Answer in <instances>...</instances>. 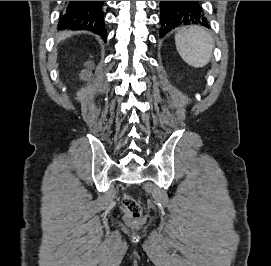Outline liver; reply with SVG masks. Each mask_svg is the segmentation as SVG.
<instances>
[{
    "instance_id": "liver-1",
    "label": "liver",
    "mask_w": 271,
    "mask_h": 266,
    "mask_svg": "<svg viewBox=\"0 0 271 266\" xmlns=\"http://www.w3.org/2000/svg\"><path fill=\"white\" fill-rule=\"evenodd\" d=\"M71 34H72L71 32H62V33H60V34L58 35L57 40H58V41L63 40V39H65V38H67V37H70Z\"/></svg>"
}]
</instances>
